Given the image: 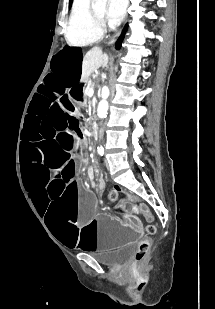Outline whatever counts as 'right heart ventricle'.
I'll list each match as a JSON object with an SVG mask.
<instances>
[{"label":"right heart ventricle","instance_id":"right-heart-ventricle-1","mask_svg":"<svg viewBox=\"0 0 215 309\" xmlns=\"http://www.w3.org/2000/svg\"><path fill=\"white\" fill-rule=\"evenodd\" d=\"M65 39L70 47H85L88 42H98L100 31L91 23L87 9L73 10L69 23H65Z\"/></svg>","mask_w":215,"mask_h":309}]
</instances>
